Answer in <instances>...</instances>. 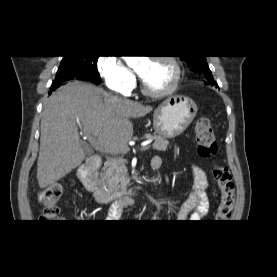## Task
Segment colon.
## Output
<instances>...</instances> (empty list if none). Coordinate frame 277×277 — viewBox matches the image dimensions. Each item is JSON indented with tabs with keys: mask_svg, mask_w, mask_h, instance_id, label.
<instances>
[{
	"mask_svg": "<svg viewBox=\"0 0 277 277\" xmlns=\"http://www.w3.org/2000/svg\"><path fill=\"white\" fill-rule=\"evenodd\" d=\"M194 135L199 155L209 159L215 157L218 146L214 129L207 117L200 116L196 120ZM212 176L219 191L216 219L225 222L230 219L233 213L235 203L234 181L230 170L219 163L213 166ZM62 194L63 188L57 183L46 187L39 193V202L43 206L40 216L42 222H57L60 211L58 203Z\"/></svg>",
	"mask_w": 277,
	"mask_h": 277,
	"instance_id": "colon-1",
	"label": "colon"
}]
</instances>
